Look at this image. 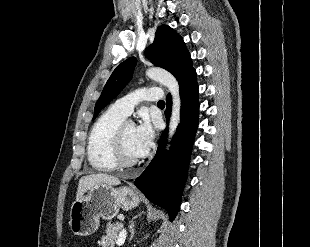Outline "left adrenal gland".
I'll list each match as a JSON object with an SVG mask.
<instances>
[{"label":"left adrenal gland","instance_id":"a2214340","mask_svg":"<svg viewBox=\"0 0 310 247\" xmlns=\"http://www.w3.org/2000/svg\"><path fill=\"white\" fill-rule=\"evenodd\" d=\"M134 223L133 222H131V224H130V226H129V231H130V239H129V241H131L132 240V238L134 237V234H135V231H134Z\"/></svg>","mask_w":310,"mask_h":247}]
</instances>
